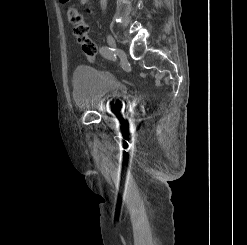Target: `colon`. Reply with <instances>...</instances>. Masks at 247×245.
Returning <instances> with one entry per match:
<instances>
[{"label": "colon", "instance_id": "1", "mask_svg": "<svg viewBox=\"0 0 247 245\" xmlns=\"http://www.w3.org/2000/svg\"><path fill=\"white\" fill-rule=\"evenodd\" d=\"M62 3H67L69 0H60ZM67 16L69 21L74 26V35L81 45L83 52L91 59L94 60L96 55V45L95 43L88 37V26L84 22L82 14L79 10L70 6L67 8Z\"/></svg>", "mask_w": 247, "mask_h": 245}]
</instances>
